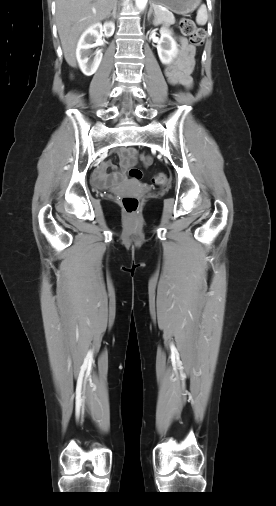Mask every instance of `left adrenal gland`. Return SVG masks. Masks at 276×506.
Returning <instances> with one entry per match:
<instances>
[{"label":"left adrenal gland","mask_w":276,"mask_h":506,"mask_svg":"<svg viewBox=\"0 0 276 506\" xmlns=\"http://www.w3.org/2000/svg\"><path fill=\"white\" fill-rule=\"evenodd\" d=\"M152 13H153V5H151V7H150L149 15H151Z\"/></svg>","instance_id":"a2214340"}]
</instances>
